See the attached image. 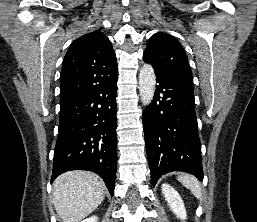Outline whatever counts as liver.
Here are the masks:
<instances>
[{"label":"liver","instance_id":"obj_1","mask_svg":"<svg viewBox=\"0 0 257 222\" xmlns=\"http://www.w3.org/2000/svg\"><path fill=\"white\" fill-rule=\"evenodd\" d=\"M105 185L100 177L87 171H69L53 184L52 203L62 222H79L104 200Z\"/></svg>","mask_w":257,"mask_h":222}]
</instances>
